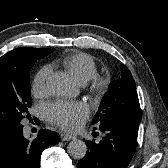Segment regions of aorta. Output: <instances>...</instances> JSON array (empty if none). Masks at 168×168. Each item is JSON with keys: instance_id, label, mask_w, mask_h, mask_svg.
Listing matches in <instances>:
<instances>
[{"instance_id": "obj_1", "label": "aorta", "mask_w": 168, "mask_h": 168, "mask_svg": "<svg viewBox=\"0 0 168 168\" xmlns=\"http://www.w3.org/2000/svg\"><path fill=\"white\" fill-rule=\"evenodd\" d=\"M50 92L57 97H69L75 90L73 79L64 72L53 74L48 81ZM69 155L74 159H82L87 151L86 144L79 139L72 140L67 147Z\"/></svg>"}]
</instances>
